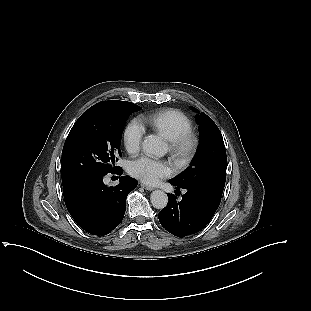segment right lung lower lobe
<instances>
[{"instance_id": "right-lung-lower-lobe-1", "label": "right lung lower lobe", "mask_w": 311, "mask_h": 311, "mask_svg": "<svg viewBox=\"0 0 311 311\" xmlns=\"http://www.w3.org/2000/svg\"><path fill=\"white\" fill-rule=\"evenodd\" d=\"M123 173L119 167L112 174ZM137 181L120 177L116 186H106L103 176L79 180L63 189L66 207L75 222L93 235H106L123 220L126 198Z\"/></svg>"}]
</instances>
